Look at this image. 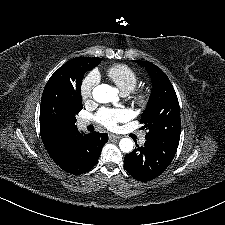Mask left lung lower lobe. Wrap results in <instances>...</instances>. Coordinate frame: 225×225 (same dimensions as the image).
I'll return each mask as SVG.
<instances>
[{"label": "left lung lower lobe", "instance_id": "0a47b994", "mask_svg": "<svg viewBox=\"0 0 225 225\" xmlns=\"http://www.w3.org/2000/svg\"><path fill=\"white\" fill-rule=\"evenodd\" d=\"M125 155L124 165L128 173L139 181L158 177L169 166L177 146L162 141L146 140L143 147Z\"/></svg>", "mask_w": 225, "mask_h": 225}]
</instances>
